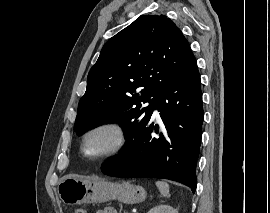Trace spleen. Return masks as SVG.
<instances>
[{
	"label": "spleen",
	"mask_w": 270,
	"mask_h": 213,
	"mask_svg": "<svg viewBox=\"0 0 270 213\" xmlns=\"http://www.w3.org/2000/svg\"><path fill=\"white\" fill-rule=\"evenodd\" d=\"M156 186L159 189L162 196L168 198L170 197L169 185L167 182L164 181H156Z\"/></svg>",
	"instance_id": "spleen-1"
}]
</instances>
